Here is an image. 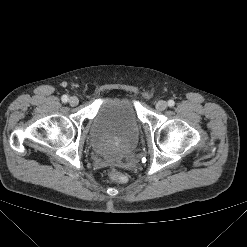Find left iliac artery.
<instances>
[{
    "instance_id": "left-iliac-artery-1",
    "label": "left iliac artery",
    "mask_w": 247,
    "mask_h": 247,
    "mask_svg": "<svg viewBox=\"0 0 247 247\" xmlns=\"http://www.w3.org/2000/svg\"><path fill=\"white\" fill-rule=\"evenodd\" d=\"M175 105V102L173 100L168 101V106L173 107Z\"/></svg>"
}]
</instances>
